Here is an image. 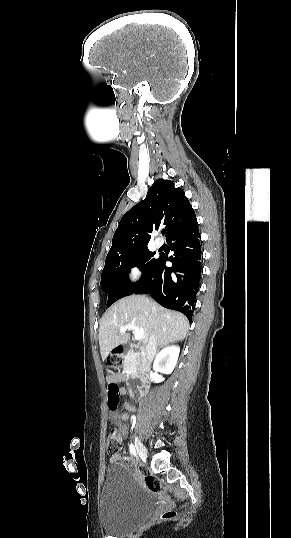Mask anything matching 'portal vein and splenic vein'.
<instances>
[{
    "mask_svg": "<svg viewBox=\"0 0 291 538\" xmlns=\"http://www.w3.org/2000/svg\"><path fill=\"white\" fill-rule=\"evenodd\" d=\"M127 329H131V330L134 331V337H135L136 340H141L143 338V336H144L143 329L137 327L134 324H126V325L120 327L121 332H125Z\"/></svg>",
    "mask_w": 291,
    "mask_h": 538,
    "instance_id": "portal-vein-and-splenic-vein-1",
    "label": "portal vein and splenic vein"
}]
</instances>
